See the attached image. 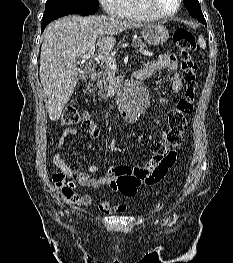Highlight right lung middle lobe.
I'll use <instances>...</instances> for the list:
<instances>
[{"mask_svg": "<svg viewBox=\"0 0 233 263\" xmlns=\"http://www.w3.org/2000/svg\"><path fill=\"white\" fill-rule=\"evenodd\" d=\"M98 8V0H47L43 21L51 22L69 14H94Z\"/></svg>", "mask_w": 233, "mask_h": 263, "instance_id": "dd1d6c3e", "label": "right lung middle lobe"}]
</instances>
